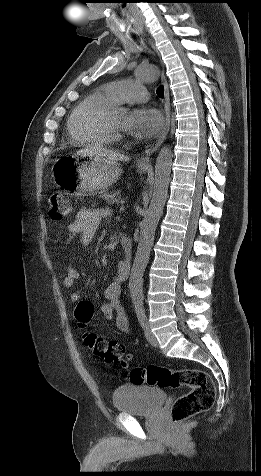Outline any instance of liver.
Segmentation results:
<instances>
[{
  "mask_svg": "<svg viewBox=\"0 0 261 476\" xmlns=\"http://www.w3.org/2000/svg\"><path fill=\"white\" fill-rule=\"evenodd\" d=\"M77 155L93 156L98 160H106L115 163L118 161H129L130 159L124 154L100 146H88L84 149L77 151Z\"/></svg>",
  "mask_w": 261,
  "mask_h": 476,
  "instance_id": "liver-1",
  "label": "liver"
}]
</instances>
